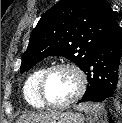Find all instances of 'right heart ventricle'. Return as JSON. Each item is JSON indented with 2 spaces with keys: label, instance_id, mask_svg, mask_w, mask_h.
Wrapping results in <instances>:
<instances>
[{
  "label": "right heart ventricle",
  "instance_id": "e07e8e85",
  "mask_svg": "<svg viewBox=\"0 0 122 123\" xmlns=\"http://www.w3.org/2000/svg\"><path fill=\"white\" fill-rule=\"evenodd\" d=\"M48 66L43 65L34 69L27 77L24 87L23 94L24 98L29 105L34 108H44L45 105L41 102L38 96V84L41 76L45 72Z\"/></svg>",
  "mask_w": 122,
  "mask_h": 123
}]
</instances>
